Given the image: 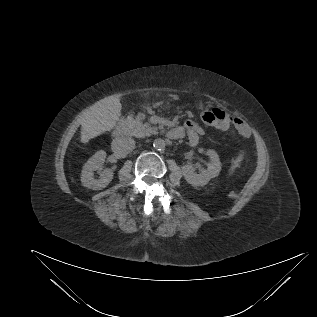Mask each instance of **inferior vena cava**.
<instances>
[{"instance_id": "obj_1", "label": "inferior vena cava", "mask_w": 317, "mask_h": 317, "mask_svg": "<svg viewBox=\"0 0 317 317\" xmlns=\"http://www.w3.org/2000/svg\"><path fill=\"white\" fill-rule=\"evenodd\" d=\"M112 150L121 155H127L135 148V141L131 137H118L112 142Z\"/></svg>"}]
</instances>
